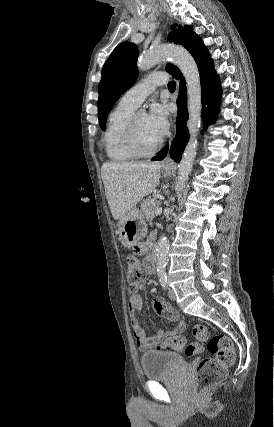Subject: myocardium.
<instances>
[{
    "instance_id": "1",
    "label": "myocardium",
    "mask_w": 274,
    "mask_h": 427,
    "mask_svg": "<svg viewBox=\"0 0 274 427\" xmlns=\"http://www.w3.org/2000/svg\"><path fill=\"white\" fill-rule=\"evenodd\" d=\"M136 116H133L127 131H126V144L131 152V154L136 158H150L153 157L163 146V140L161 139L157 145L148 151H143L140 149L138 144V135H137V120Z\"/></svg>"
}]
</instances>
